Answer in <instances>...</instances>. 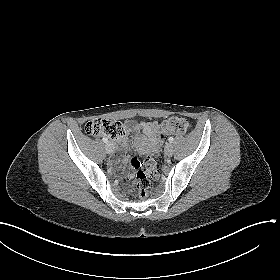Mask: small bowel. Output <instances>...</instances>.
Here are the masks:
<instances>
[{"instance_id":"1","label":"small bowel","mask_w":280,"mask_h":280,"mask_svg":"<svg viewBox=\"0 0 280 280\" xmlns=\"http://www.w3.org/2000/svg\"><path fill=\"white\" fill-rule=\"evenodd\" d=\"M129 136L133 137L136 150L143 155L156 154L164 138V134L159 130L156 122L127 121L123 125V133L115 139V145L121 149L124 148ZM122 160L126 163L130 157L124 156ZM117 162L118 160H112V163Z\"/></svg>"}]
</instances>
